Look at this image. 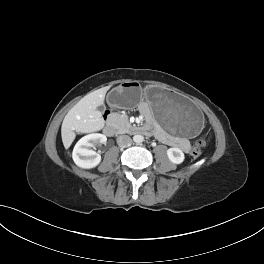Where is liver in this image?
I'll use <instances>...</instances> for the list:
<instances>
[{"label": "liver", "instance_id": "obj_1", "mask_svg": "<svg viewBox=\"0 0 264 264\" xmlns=\"http://www.w3.org/2000/svg\"><path fill=\"white\" fill-rule=\"evenodd\" d=\"M108 88H101L84 96L66 114L62 127L61 136L65 149H68L76 137V133H91L104 127L102 114L97 107L104 103Z\"/></svg>", "mask_w": 264, "mask_h": 264}]
</instances>
